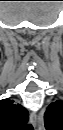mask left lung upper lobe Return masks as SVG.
I'll return each mask as SVG.
<instances>
[{"mask_svg":"<svg viewBox=\"0 0 63 130\" xmlns=\"http://www.w3.org/2000/svg\"><path fill=\"white\" fill-rule=\"evenodd\" d=\"M44 124L47 130H63V102L52 103L44 114Z\"/></svg>","mask_w":63,"mask_h":130,"instance_id":"obj_1","label":"left lung upper lobe"}]
</instances>
